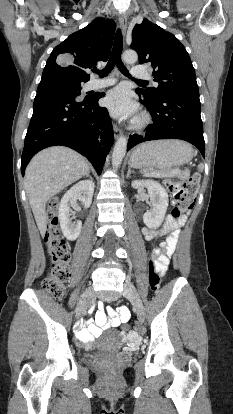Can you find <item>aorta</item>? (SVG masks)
I'll return each mask as SVG.
<instances>
[{
  "label": "aorta",
  "instance_id": "1",
  "mask_svg": "<svg viewBox=\"0 0 233 414\" xmlns=\"http://www.w3.org/2000/svg\"><path fill=\"white\" fill-rule=\"evenodd\" d=\"M123 60L128 64H134L138 60V55L135 51L127 50L122 55ZM127 149V139L121 136L117 139L112 153V166L118 169L122 163Z\"/></svg>",
  "mask_w": 233,
  "mask_h": 414
}]
</instances>
